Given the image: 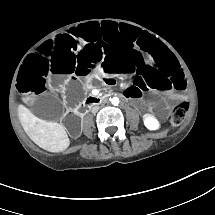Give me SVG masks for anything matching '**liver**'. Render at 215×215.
I'll use <instances>...</instances> for the list:
<instances>
[{
    "label": "liver",
    "mask_w": 215,
    "mask_h": 215,
    "mask_svg": "<svg viewBox=\"0 0 215 215\" xmlns=\"http://www.w3.org/2000/svg\"><path fill=\"white\" fill-rule=\"evenodd\" d=\"M18 116L23 129L38 146L53 152L68 147L69 138L62 124L39 119L23 106L18 107Z\"/></svg>",
    "instance_id": "obj_1"
}]
</instances>
